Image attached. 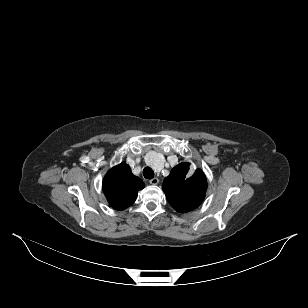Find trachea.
<instances>
[{"mask_svg": "<svg viewBox=\"0 0 308 308\" xmlns=\"http://www.w3.org/2000/svg\"><path fill=\"white\" fill-rule=\"evenodd\" d=\"M143 175L146 179H152L154 177V171L150 167L143 169Z\"/></svg>", "mask_w": 308, "mask_h": 308, "instance_id": "1", "label": "trachea"}]
</instances>
